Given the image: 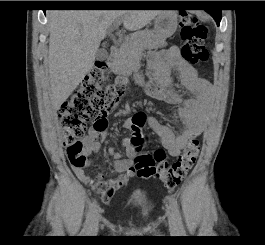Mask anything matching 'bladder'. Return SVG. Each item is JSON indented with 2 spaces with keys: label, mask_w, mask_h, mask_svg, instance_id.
Segmentation results:
<instances>
[{
  "label": "bladder",
  "mask_w": 265,
  "mask_h": 245,
  "mask_svg": "<svg viewBox=\"0 0 265 245\" xmlns=\"http://www.w3.org/2000/svg\"><path fill=\"white\" fill-rule=\"evenodd\" d=\"M131 203L138 206H147L148 198L143 189H138L131 199Z\"/></svg>",
  "instance_id": "obj_1"
}]
</instances>
